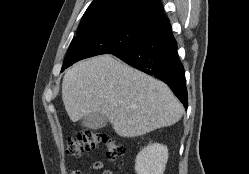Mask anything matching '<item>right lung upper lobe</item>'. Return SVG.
I'll return each mask as SVG.
<instances>
[{
    "label": "right lung upper lobe",
    "mask_w": 249,
    "mask_h": 174,
    "mask_svg": "<svg viewBox=\"0 0 249 174\" xmlns=\"http://www.w3.org/2000/svg\"><path fill=\"white\" fill-rule=\"evenodd\" d=\"M165 19L160 0H94L78 31L128 22L149 26Z\"/></svg>",
    "instance_id": "1"
}]
</instances>
